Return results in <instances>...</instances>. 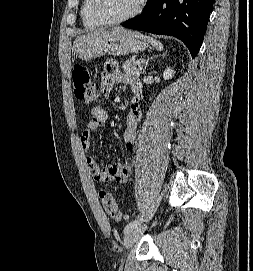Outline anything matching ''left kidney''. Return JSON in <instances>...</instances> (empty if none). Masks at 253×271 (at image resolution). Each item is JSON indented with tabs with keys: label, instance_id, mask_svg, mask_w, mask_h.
Wrapping results in <instances>:
<instances>
[{
	"label": "left kidney",
	"instance_id": "1",
	"mask_svg": "<svg viewBox=\"0 0 253 271\" xmlns=\"http://www.w3.org/2000/svg\"><path fill=\"white\" fill-rule=\"evenodd\" d=\"M175 74V71L171 69L170 67H167L165 71L163 72V78L164 80H169L171 79Z\"/></svg>",
	"mask_w": 253,
	"mask_h": 271
}]
</instances>
